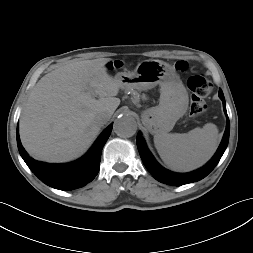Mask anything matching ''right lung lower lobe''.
Listing matches in <instances>:
<instances>
[{
  "mask_svg": "<svg viewBox=\"0 0 253 253\" xmlns=\"http://www.w3.org/2000/svg\"><path fill=\"white\" fill-rule=\"evenodd\" d=\"M112 125L104 130L87 154L75 162L48 164L34 160L23 148L17 129L18 150L30 170L46 185L59 190L77 189L91 182L97 175L102 148L110 136Z\"/></svg>",
  "mask_w": 253,
  "mask_h": 253,
  "instance_id": "1",
  "label": "right lung lower lobe"
}]
</instances>
